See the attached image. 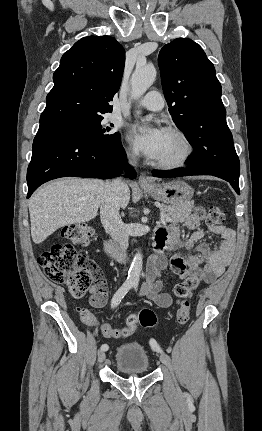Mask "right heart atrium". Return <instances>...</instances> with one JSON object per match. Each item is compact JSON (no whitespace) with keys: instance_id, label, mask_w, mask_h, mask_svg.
<instances>
[{"instance_id":"obj_1","label":"right heart atrium","mask_w":262,"mask_h":431,"mask_svg":"<svg viewBox=\"0 0 262 431\" xmlns=\"http://www.w3.org/2000/svg\"><path fill=\"white\" fill-rule=\"evenodd\" d=\"M127 153L129 156H135L137 154L136 150L132 147L127 149Z\"/></svg>"}]
</instances>
